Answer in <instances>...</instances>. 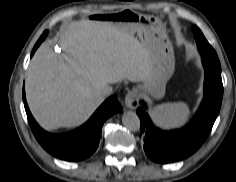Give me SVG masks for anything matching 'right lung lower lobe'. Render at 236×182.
Listing matches in <instances>:
<instances>
[{"label":"right lung lower lobe","instance_id":"1","mask_svg":"<svg viewBox=\"0 0 236 182\" xmlns=\"http://www.w3.org/2000/svg\"><path fill=\"white\" fill-rule=\"evenodd\" d=\"M41 39L35 44L31 56L41 44ZM23 101L28 122L41 146L53 156L71 162L81 161L92 155L98 147L101 129L106 119L117 112H122L117 98L111 96L79 129L65 134H51L44 131L33 118L26 102L24 90Z\"/></svg>","mask_w":236,"mask_h":182}]
</instances>
